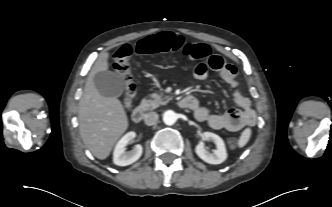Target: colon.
I'll return each instance as SVG.
<instances>
[{
    "label": "colon",
    "instance_id": "1",
    "mask_svg": "<svg viewBox=\"0 0 332 207\" xmlns=\"http://www.w3.org/2000/svg\"><path fill=\"white\" fill-rule=\"evenodd\" d=\"M182 50L183 55L189 60H202L214 58L208 45L203 43L186 42L180 35L162 33L149 36L139 41L135 48L129 44L121 45L114 53L113 60L116 71L120 74L125 86V100L129 102L134 98L136 85L132 74L130 58L135 51L139 54L170 52ZM234 146L235 141H231Z\"/></svg>",
    "mask_w": 332,
    "mask_h": 207
}]
</instances>
